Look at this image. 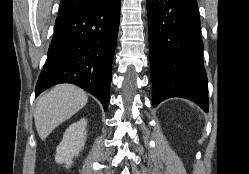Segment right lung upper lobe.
<instances>
[{"instance_id":"right-lung-upper-lobe-1","label":"right lung upper lobe","mask_w":249,"mask_h":174,"mask_svg":"<svg viewBox=\"0 0 249 174\" xmlns=\"http://www.w3.org/2000/svg\"><path fill=\"white\" fill-rule=\"evenodd\" d=\"M114 0H61L57 19L67 17L78 11L110 3Z\"/></svg>"}]
</instances>
